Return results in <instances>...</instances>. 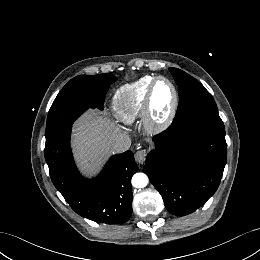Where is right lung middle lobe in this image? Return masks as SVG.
Segmentation results:
<instances>
[{
	"instance_id": "obj_1",
	"label": "right lung middle lobe",
	"mask_w": 260,
	"mask_h": 260,
	"mask_svg": "<svg viewBox=\"0 0 260 260\" xmlns=\"http://www.w3.org/2000/svg\"><path fill=\"white\" fill-rule=\"evenodd\" d=\"M116 80L110 73L80 75L71 79L59 92L49 111L46 145L52 144L88 108L102 110L109 86Z\"/></svg>"
}]
</instances>
